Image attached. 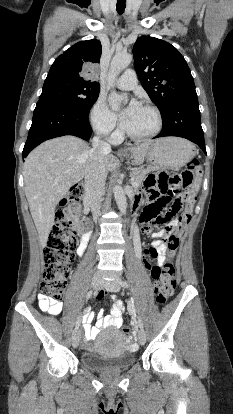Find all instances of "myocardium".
<instances>
[{"mask_svg":"<svg viewBox=\"0 0 233 414\" xmlns=\"http://www.w3.org/2000/svg\"><path fill=\"white\" fill-rule=\"evenodd\" d=\"M141 107L147 108V109H149V110H151V111L154 112V114L156 115V118H157V126H156L155 130L153 132L149 133V134H146V135H136V134H133L132 132H130L125 127V125H124V123L122 121L121 122V125H120L122 133L125 136H127L128 138H130V139H132L134 141H145V140L152 139V138H154L155 136H157L161 132L162 127H163V116H162V113H161V111L159 110L158 107H156L155 105L150 104V103H144V104L141 105Z\"/></svg>","mask_w":233,"mask_h":414,"instance_id":"f54148a6","label":"myocardium"}]
</instances>
